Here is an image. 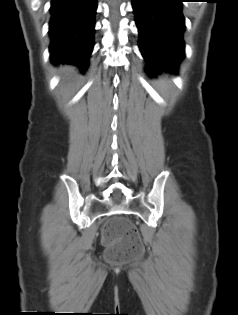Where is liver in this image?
<instances>
[{"instance_id": "liver-1", "label": "liver", "mask_w": 238, "mask_h": 315, "mask_svg": "<svg viewBox=\"0 0 238 315\" xmlns=\"http://www.w3.org/2000/svg\"><path fill=\"white\" fill-rule=\"evenodd\" d=\"M76 71L74 67L71 66H63L60 68V75L63 80H68L70 77L75 75Z\"/></svg>"}]
</instances>
